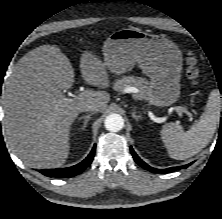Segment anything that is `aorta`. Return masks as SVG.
Returning a JSON list of instances; mask_svg holds the SVG:
<instances>
[{
    "mask_svg": "<svg viewBox=\"0 0 222 219\" xmlns=\"http://www.w3.org/2000/svg\"><path fill=\"white\" fill-rule=\"evenodd\" d=\"M105 128L111 132H118L124 127V119L121 115L113 113L106 117Z\"/></svg>",
    "mask_w": 222,
    "mask_h": 219,
    "instance_id": "obj_1",
    "label": "aorta"
}]
</instances>
